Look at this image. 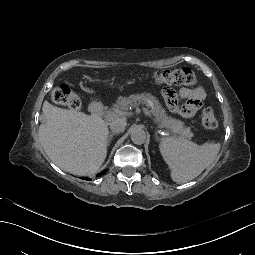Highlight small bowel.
I'll use <instances>...</instances> for the list:
<instances>
[{"mask_svg":"<svg viewBox=\"0 0 255 255\" xmlns=\"http://www.w3.org/2000/svg\"><path fill=\"white\" fill-rule=\"evenodd\" d=\"M167 92L171 93L170 90ZM178 94L181 98L187 99L186 104L179 111L180 115L186 118L194 116L200 109L202 101L205 99V92L202 88H182Z\"/></svg>","mask_w":255,"mask_h":255,"instance_id":"c3829d8e","label":"small bowel"}]
</instances>
